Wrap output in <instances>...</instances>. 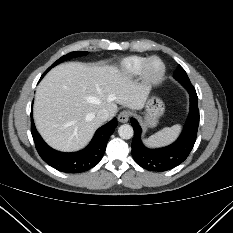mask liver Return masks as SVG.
<instances>
[{
	"instance_id": "1",
	"label": "liver",
	"mask_w": 233,
	"mask_h": 233,
	"mask_svg": "<svg viewBox=\"0 0 233 233\" xmlns=\"http://www.w3.org/2000/svg\"><path fill=\"white\" fill-rule=\"evenodd\" d=\"M146 100L147 88L115 66L68 62L49 71L38 85L33 116L51 147L72 152L85 147L101 126L96 118L100 109L112 118L117 104L139 110Z\"/></svg>"
}]
</instances>
